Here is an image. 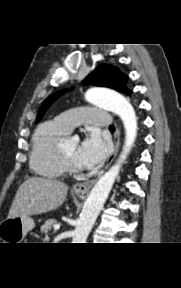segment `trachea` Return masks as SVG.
<instances>
[{
    "instance_id": "trachea-1",
    "label": "trachea",
    "mask_w": 181,
    "mask_h": 288,
    "mask_svg": "<svg viewBox=\"0 0 181 288\" xmlns=\"http://www.w3.org/2000/svg\"><path fill=\"white\" fill-rule=\"evenodd\" d=\"M109 129L114 131V130H115V127H114L113 125H110V126H109Z\"/></svg>"
}]
</instances>
